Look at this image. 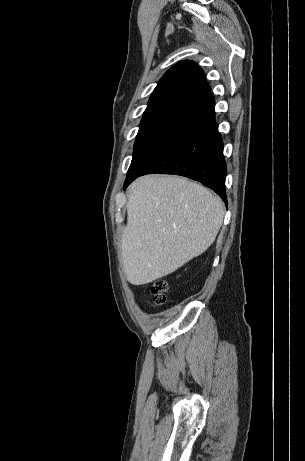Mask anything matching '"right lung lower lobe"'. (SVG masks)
I'll use <instances>...</instances> for the list:
<instances>
[{"label":"right lung lower lobe","instance_id":"98d812e1","mask_svg":"<svg viewBox=\"0 0 305 461\" xmlns=\"http://www.w3.org/2000/svg\"><path fill=\"white\" fill-rule=\"evenodd\" d=\"M214 106L211 95L188 108L168 134L138 164L129 168L124 189L144 174H176L201 182L227 204V170Z\"/></svg>","mask_w":305,"mask_h":461}]
</instances>
